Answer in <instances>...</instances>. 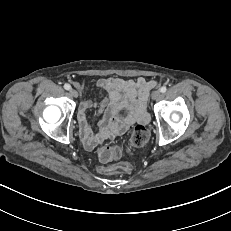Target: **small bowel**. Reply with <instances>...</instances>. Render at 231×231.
Instances as JSON below:
<instances>
[{"label":"small bowel","mask_w":231,"mask_h":231,"mask_svg":"<svg viewBox=\"0 0 231 231\" xmlns=\"http://www.w3.org/2000/svg\"><path fill=\"white\" fill-rule=\"evenodd\" d=\"M74 85L81 89L79 83ZM96 89L105 93L100 103L85 100L80 104L78 122L80 138L84 147L94 149L103 141L122 133L135 122H147L146 111L149 92L157 82L143 77L125 80L122 78H104L94 81ZM97 109L99 130L94 132L87 120V112Z\"/></svg>","instance_id":"obj_1"}]
</instances>
